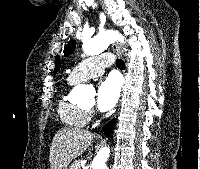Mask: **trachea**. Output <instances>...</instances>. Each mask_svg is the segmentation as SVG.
<instances>
[{
	"label": "trachea",
	"mask_w": 200,
	"mask_h": 169,
	"mask_svg": "<svg viewBox=\"0 0 200 169\" xmlns=\"http://www.w3.org/2000/svg\"><path fill=\"white\" fill-rule=\"evenodd\" d=\"M116 66L121 70L125 69V63L121 59L116 60Z\"/></svg>",
	"instance_id": "3493384b"
}]
</instances>
